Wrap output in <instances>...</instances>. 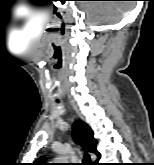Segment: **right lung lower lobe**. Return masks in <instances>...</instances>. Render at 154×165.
<instances>
[{
	"instance_id": "obj_1",
	"label": "right lung lower lobe",
	"mask_w": 154,
	"mask_h": 165,
	"mask_svg": "<svg viewBox=\"0 0 154 165\" xmlns=\"http://www.w3.org/2000/svg\"><path fill=\"white\" fill-rule=\"evenodd\" d=\"M97 156H98V158H100V156H101L100 153H98ZM93 165H100V164L98 163V161H96L93 163Z\"/></svg>"
}]
</instances>
